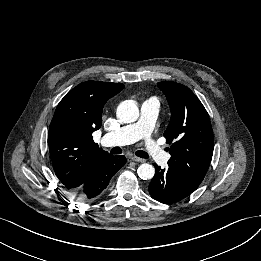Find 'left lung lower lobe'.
<instances>
[{
  "mask_svg": "<svg viewBox=\"0 0 261 261\" xmlns=\"http://www.w3.org/2000/svg\"><path fill=\"white\" fill-rule=\"evenodd\" d=\"M155 166V176L149 184L150 195L162 203H175L188 197L194 190L185 186L172 169Z\"/></svg>",
  "mask_w": 261,
  "mask_h": 261,
  "instance_id": "1",
  "label": "left lung lower lobe"
}]
</instances>
